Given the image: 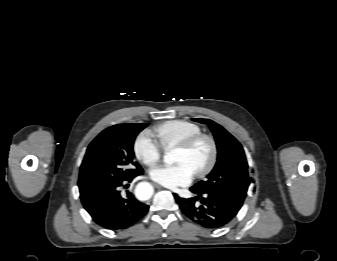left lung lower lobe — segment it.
Listing matches in <instances>:
<instances>
[{
    "label": "left lung lower lobe",
    "instance_id": "obj_1",
    "mask_svg": "<svg viewBox=\"0 0 337 261\" xmlns=\"http://www.w3.org/2000/svg\"><path fill=\"white\" fill-rule=\"evenodd\" d=\"M195 198L184 199L174 194L181 211L190 220L207 229H217L228 224L238 213V209L233 207L222 197L210 194L199 193L192 188ZM200 201V205L196 201Z\"/></svg>",
    "mask_w": 337,
    "mask_h": 261
}]
</instances>
